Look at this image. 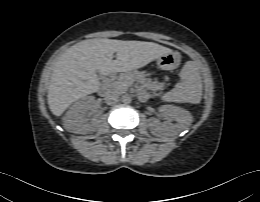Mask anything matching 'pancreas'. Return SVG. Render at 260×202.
Wrapping results in <instances>:
<instances>
[{"label":"pancreas","instance_id":"obj_1","mask_svg":"<svg viewBox=\"0 0 260 202\" xmlns=\"http://www.w3.org/2000/svg\"><path fill=\"white\" fill-rule=\"evenodd\" d=\"M145 72L132 71L122 73L116 79H108L105 81V85L108 91H113L116 93H124L133 81L137 80L148 90L156 91L165 88L164 83H159L157 81H152L150 78H145Z\"/></svg>","mask_w":260,"mask_h":202}]
</instances>
